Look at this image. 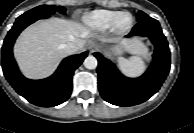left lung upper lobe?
<instances>
[{"instance_id": "5c2ea615", "label": "left lung upper lobe", "mask_w": 194, "mask_h": 133, "mask_svg": "<svg viewBox=\"0 0 194 133\" xmlns=\"http://www.w3.org/2000/svg\"><path fill=\"white\" fill-rule=\"evenodd\" d=\"M148 17L149 16L146 13H144L142 11H139L138 14H137V21L139 22V21L145 20Z\"/></svg>"}]
</instances>
